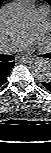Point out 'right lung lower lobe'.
<instances>
[{
  "label": "right lung lower lobe",
  "instance_id": "1",
  "mask_svg": "<svg viewBox=\"0 0 51 153\" xmlns=\"http://www.w3.org/2000/svg\"><path fill=\"white\" fill-rule=\"evenodd\" d=\"M14 66L13 62L9 63H0V86L4 83L5 79L7 78L9 71Z\"/></svg>",
  "mask_w": 51,
  "mask_h": 153
}]
</instances>
